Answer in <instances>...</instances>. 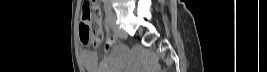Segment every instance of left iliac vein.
<instances>
[{"instance_id": "1", "label": "left iliac vein", "mask_w": 267, "mask_h": 72, "mask_svg": "<svg viewBox=\"0 0 267 72\" xmlns=\"http://www.w3.org/2000/svg\"><path fill=\"white\" fill-rule=\"evenodd\" d=\"M111 27H112L114 33L118 37H120V38H126L127 37L126 32L117 26V24H116V16L112 12V10H111Z\"/></svg>"}]
</instances>
